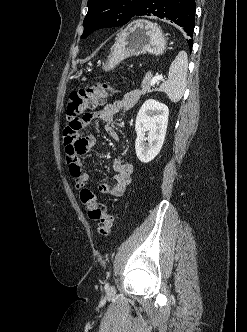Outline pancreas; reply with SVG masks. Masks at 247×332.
Returning a JSON list of instances; mask_svg holds the SVG:
<instances>
[{
    "instance_id": "obj_1",
    "label": "pancreas",
    "mask_w": 247,
    "mask_h": 332,
    "mask_svg": "<svg viewBox=\"0 0 247 332\" xmlns=\"http://www.w3.org/2000/svg\"><path fill=\"white\" fill-rule=\"evenodd\" d=\"M153 75L151 72H148L146 73L143 81H142V84H141V94H147V93H150L152 92L154 89H151V85H150V82H151V79H152Z\"/></svg>"
}]
</instances>
